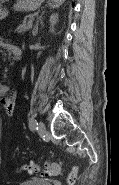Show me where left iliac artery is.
Masks as SVG:
<instances>
[{"mask_svg": "<svg viewBox=\"0 0 119 185\" xmlns=\"http://www.w3.org/2000/svg\"><path fill=\"white\" fill-rule=\"evenodd\" d=\"M37 126H38L37 120L34 117H30L29 118V128L31 130H35L38 128Z\"/></svg>", "mask_w": 119, "mask_h": 185, "instance_id": "44dca946", "label": "left iliac artery"}]
</instances>
